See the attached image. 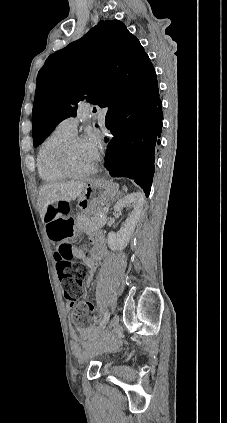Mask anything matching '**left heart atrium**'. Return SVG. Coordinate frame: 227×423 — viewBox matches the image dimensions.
<instances>
[{"label":"left heart atrium","instance_id":"obj_1","mask_svg":"<svg viewBox=\"0 0 227 423\" xmlns=\"http://www.w3.org/2000/svg\"><path fill=\"white\" fill-rule=\"evenodd\" d=\"M87 148L89 149L94 162L97 160L100 150L102 148V137L99 132L93 131L88 139L85 141Z\"/></svg>","mask_w":227,"mask_h":423}]
</instances>
